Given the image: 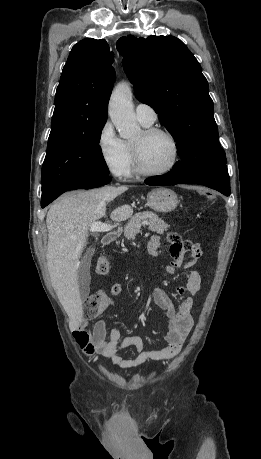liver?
<instances>
[{
    "mask_svg": "<svg viewBox=\"0 0 261 459\" xmlns=\"http://www.w3.org/2000/svg\"><path fill=\"white\" fill-rule=\"evenodd\" d=\"M128 190L127 186H105L63 195L47 213V266L53 288L69 317L70 330L82 321L83 307L77 271L87 244L90 226L106 217V204ZM133 213L125 204L112 211L114 221H123Z\"/></svg>",
    "mask_w": 261,
    "mask_h": 459,
    "instance_id": "1",
    "label": "liver"
}]
</instances>
